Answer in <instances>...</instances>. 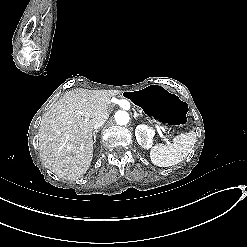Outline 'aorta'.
<instances>
[{
	"label": "aorta",
	"mask_w": 247,
	"mask_h": 247,
	"mask_svg": "<svg viewBox=\"0 0 247 247\" xmlns=\"http://www.w3.org/2000/svg\"><path fill=\"white\" fill-rule=\"evenodd\" d=\"M114 118L118 125H126L130 120L128 112L124 110L117 111Z\"/></svg>",
	"instance_id": "762f6f07"
}]
</instances>
